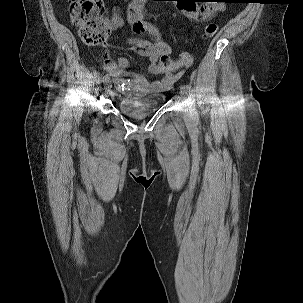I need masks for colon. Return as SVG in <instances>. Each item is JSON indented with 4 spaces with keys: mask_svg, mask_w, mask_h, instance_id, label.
<instances>
[{
    "mask_svg": "<svg viewBox=\"0 0 303 303\" xmlns=\"http://www.w3.org/2000/svg\"><path fill=\"white\" fill-rule=\"evenodd\" d=\"M71 20L78 28L82 42L90 47L102 45L110 31L102 17L103 6L101 0H69ZM216 23H208L204 35L212 38L217 33ZM192 55L188 52L180 54L176 62H173L169 53L160 56L159 65L165 69H182L188 67L192 62Z\"/></svg>",
    "mask_w": 303,
    "mask_h": 303,
    "instance_id": "obj_1",
    "label": "colon"
}]
</instances>
